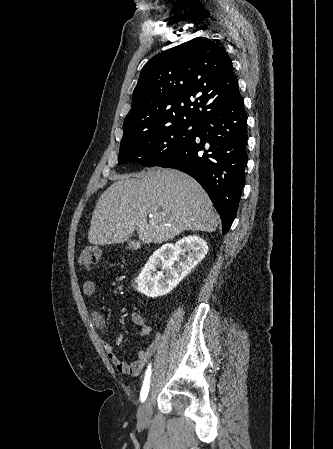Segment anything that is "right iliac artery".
<instances>
[{"label": "right iliac artery", "instance_id": "1", "mask_svg": "<svg viewBox=\"0 0 333 449\" xmlns=\"http://www.w3.org/2000/svg\"><path fill=\"white\" fill-rule=\"evenodd\" d=\"M150 374H151V364H149V366H148V369H147L146 375H145V379L143 381V386H142V389H141L140 398H141L142 402L145 401V399H146V397L148 395V392H149Z\"/></svg>", "mask_w": 333, "mask_h": 449}]
</instances>
